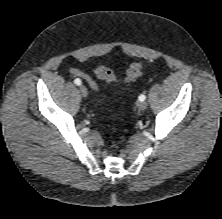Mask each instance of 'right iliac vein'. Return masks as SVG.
I'll use <instances>...</instances> for the list:
<instances>
[{
	"label": "right iliac vein",
	"instance_id": "obj_1",
	"mask_svg": "<svg viewBox=\"0 0 222 219\" xmlns=\"http://www.w3.org/2000/svg\"><path fill=\"white\" fill-rule=\"evenodd\" d=\"M79 91L83 97H86L88 95L87 88L83 85L79 86Z\"/></svg>",
	"mask_w": 222,
	"mask_h": 219
}]
</instances>
